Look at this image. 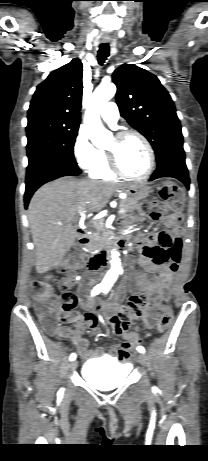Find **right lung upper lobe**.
Segmentation results:
<instances>
[{
    "label": "right lung upper lobe",
    "instance_id": "obj_1",
    "mask_svg": "<svg viewBox=\"0 0 208 461\" xmlns=\"http://www.w3.org/2000/svg\"><path fill=\"white\" fill-rule=\"evenodd\" d=\"M83 64L79 59L52 71L33 95L28 118L64 119L80 123Z\"/></svg>",
    "mask_w": 208,
    "mask_h": 461
}]
</instances>
